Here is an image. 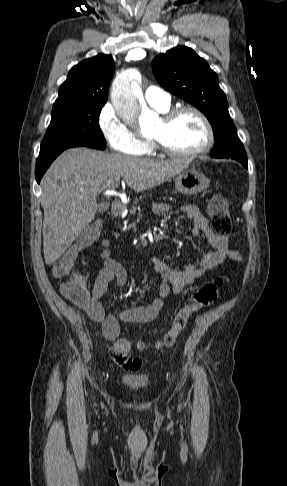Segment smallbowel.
<instances>
[{
  "label": "small bowel",
  "instance_id": "obj_1",
  "mask_svg": "<svg viewBox=\"0 0 287 486\" xmlns=\"http://www.w3.org/2000/svg\"><path fill=\"white\" fill-rule=\"evenodd\" d=\"M170 210L167 204H156L153 212L163 215ZM185 215L192 221V232L206 241L208 251L195 263L174 267L158 257L151 259L154 272L159 277L157 297L147 305H140L107 314L101 303V298L108 289L110 282L124 286L127 273L124 267L112 258L111 242L109 239L101 241L100 257L103 268L96 276L90 289V299L84 307L88 316L102 327L104 337L115 340L120 334L121 323L144 324L153 321L163 307V300L170 294H179L185 286L193 284L196 279L207 272L215 271L225 260L240 261L237 251L231 249L226 237L217 235L208 225L206 217L195 205H185L182 208Z\"/></svg>",
  "mask_w": 287,
  "mask_h": 486
}]
</instances>
